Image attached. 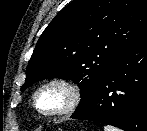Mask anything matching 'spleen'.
Instances as JSON below:
<instances>
[{
	"instance_id": "3e777b00",
	"label": "spleen",
	"mask_w": 147,
	"mask_h": 131,
	"mask_svg": "<svg viewBox=\"0 0 147 131\" xmlns=\"http://www.w3.org/2000/svg\"><path fill=\"white\" fill-rule=\"evenodd\" d=\"M104 131H120V130L115 128V127H113V126L105 125L104 126Z\"/></svg>"
}]
</instances>
